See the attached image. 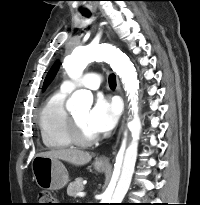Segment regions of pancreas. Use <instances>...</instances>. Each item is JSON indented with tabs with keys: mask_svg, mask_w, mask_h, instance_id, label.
I'll use <instances>...</instances> for the list:
<instances>
[{
	"mask_svg": "<svg viewBox=\"0 0 200 205\" xmlns=\"http://www.w3.org/2000/svg\"><path fill=\"white\" fill-rule=\"evenodd\" d=\"M84 189L83 178H76L75 181L71 182L67 187L68 196L75 197L78 192Z\"/></svg>",
	"mask_w": 200,
	"mask_h": 205,
	"instance_id": "pancreas-1",
	"label": "pancreas"
}]
</instances>
